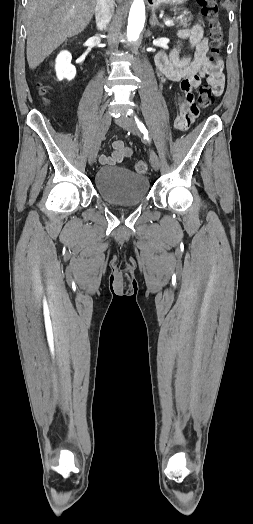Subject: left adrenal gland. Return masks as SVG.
<instances>
[{
    "label": "left adrenal gland",
    "mask_w": 253,
    "mask_h": 524,
    "mask_svg": "<svg viewBox=\"0 0 253 524\" xmlns=\"http://www.w3.org/2000/svg\"><path fill=\"white\" fill-rule=\"evenodd\" d=\"M150 25H151L152 27H154V26H159V27H161V28H164V25H163V24H160V23L158 22L157 17H156V15H155V12H154V11H152V16H151V18H150Z\"/></svg>",
    "instance_id": "left-adrenal-gland-1"
}]
</instances>
